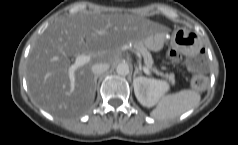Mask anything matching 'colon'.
Listing matches in <instances>:
<instances>
[{
    "mask_svg": "<svg viewBox=\"0 0 238 145\" xmlns=\"http://www.w3.org/2000/svg\"><path fill=\"white\" fill-rule=\"evenodd\" d=\"M170 58L174 61V62H181V57L179 54L175 53V52H171L170 53ZM185 66L187 68L188 71L190 72H194V73H198L192 81V85L195 89H204L206 84H207V79L206 77L202 74L205 69H206V58H205V54L203 51L189 57L186 61H185Z\"/></svg>",
    "mask_w": 238,
    "mask_h": 145,
    "instance_id": "1",
    "label": "colon"
}]
</instances>
